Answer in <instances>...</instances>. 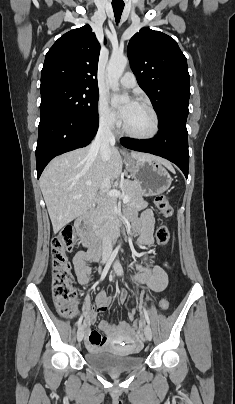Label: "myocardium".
Segmentation results:
<instances>
[{
    "label": "myocardium",
    "instance_id": "1",
    "mask_svg": "<svg viewBox=\"0 0 235 404\" xmlns=\"http://www.w3.org/2000/svg\"><path fill=\"white\" fill-rule=\"evenodd\" d=\"M136 103L145 107L152 115L153 127H152L151 132H149L148 134H145V135H139V134L132 133L125 127L123 121L121 122V131L125 136H127L131 139H134V140H139V141L151 140L157 136L159 129H160V121H159L158 113L149 102H147L143 99L137 100Z\"/></svg>",
    "mask_w": 235,
    "mask_h": 404
}]
</instances>
